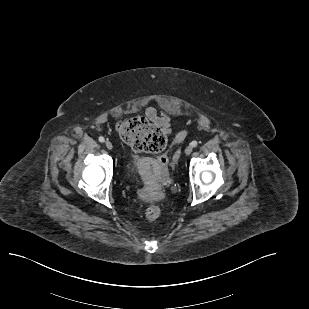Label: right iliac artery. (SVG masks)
<instances>
[{
  "mask_svg": "<svg viewBox=\"0 0 309 309\" xmlns=\"http://www.w3.org/2000/svg\"><path fill=\"white\" fill-rule=\"evenodd\" d=\"M105 141L104 137L100 136L99 137V142L103 143Z\"/></svg>",
  "mask_w": 309,
  "mask_h": 309,
  "instance_id": "1",
  "label": "right iliac artery"
}]
</instances>
